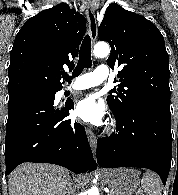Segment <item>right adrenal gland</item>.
<instances>
[{
    "label": "right adrenal gland",
    "instance_id": "right-adrenal-gland-1",
    "mask_svg": "<svg viewBox=\"0 0 178 195\" xmlns=\"http://www.w3.org/2000/svg\"><path fill=\"white\" fill-rule=\"evenodd\" d=\"M72 183H71V181L69 182V185H71Z\"/></svg>",
    "mask_w": 178,
    "mask_h": 195
}]
</instances>
